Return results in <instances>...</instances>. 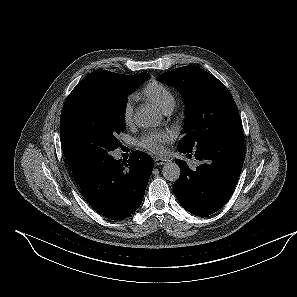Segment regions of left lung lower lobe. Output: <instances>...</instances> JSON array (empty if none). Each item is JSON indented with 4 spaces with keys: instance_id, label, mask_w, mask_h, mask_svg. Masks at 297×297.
I'll return each mask as SVG.
<instances>
[{
    "instance_id": "0a47b994",
    "label": "left lung lower lobe",
    "mask_w": 297,
    "mask_h": 297,
    "mask_svg": "<svg viewBox=\"0 0 297 297\" xmlns=\"http://www.w3.org/2000/svg\"><path fill=\"white\" fill-rule=\"evenodd\" d=\"M195 158L202 162L195 170L182 160L175 161L181 175L173 189L187 211L196 216H207L218 211L235 189L244 161L243 132L206 144L195 151Z\"/></svg>"
}]
</instances>
